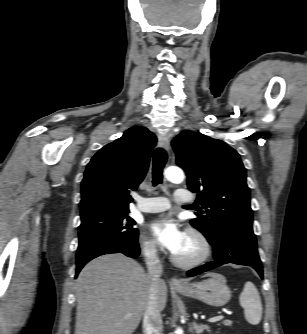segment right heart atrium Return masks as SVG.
Wrapping results in <instances>:
<instances>
[{
  "label": "right heart atrium",
  "instance_id": "right-heart-atrium-1",
  "mask_svg": "<svg viewBox=\"0 0 307 334\" xmlns=\"http://www.w3.org/2000/svg\"><path fill=\"white\" fill-rule=\"evenodd\" d=\"M139 247L144 255V257L148 260H154L158 257V248L156 244L150 239L142 236L139 239Z\"/></svg>",
  "mask_w": 307,
  "mask_h": 334
}]
</instances>
